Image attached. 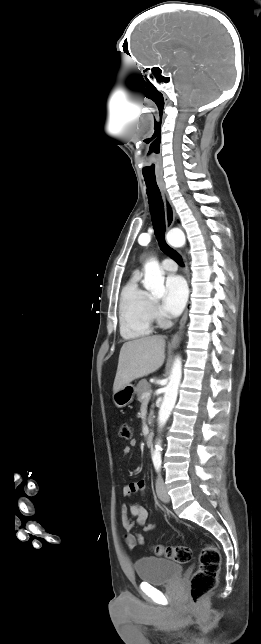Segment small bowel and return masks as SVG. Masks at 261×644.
Masks as SVG:
<instances>
[{
	"label": "small bowel",
	"mask_w": 261,
	"mask_h": 644,
	"mask_svg": "<svg viewBox=\"0 0 261 644\" xmlns=\"http://www.w3.org/2000/svg\"><path fill=\"white\" fill-rule=\"evenodd\" d=\"M135 445V441L131 442L130 446H126L123 449L125 455L130 454L132 446ZM147 483L144 479L132 481L126 484L122 493L124 496H131L138 492H143L146 489ZM122 523L127 534L125 535V540L130 548H135L137 545H143L145 543V538L140 533H133L136 526L142 527L145 532H152L155 530L156 526L153 523L148 521V512L147 510L139 505L133 504L131 506L122 505Z\"/></svg>",
	"instance_id": "obj_1"
}]
</instances>
